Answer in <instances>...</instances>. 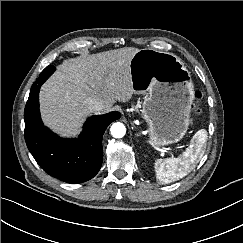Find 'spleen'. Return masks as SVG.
Instances as JSON below:
<instances>
[{
	"label": "spleen",
	"instance_id": "spleen-1",
	"mask_svg": "<svg viewBox=\"0 0 243 243\" xmlns=\"http://www.w3.org/2000/svg\"><path fill=\"white\" fill-rule=\"evenodd\" d=\"M207 131L198 130L190 146L182 155L174 158L157 159L155 161L156 179L161 184H168L185 177L204 154Z\"/></svg>",
	"mask_w": 243,
	"mask_h": 243
}]
</instances>
